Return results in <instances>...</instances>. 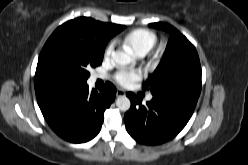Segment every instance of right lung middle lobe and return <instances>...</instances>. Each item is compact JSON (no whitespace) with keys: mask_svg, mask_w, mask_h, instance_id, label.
<instances>
[{"mask_svg":"<svg viewBox=\"0 0 248 165\" xmlns=\"http://www.w3.org/2000/svg\"><path fill=\"white\" fill-rule=\"evenodd\" d=\"M105 46L68 28L58 27L45 43L36 72L69 88L86 85L91 67L101 65Z\"/></svg>","mask_w":248,"mask_h":165,"instance_id":"1","label":"right lung middle lobe"}]
</instances>
